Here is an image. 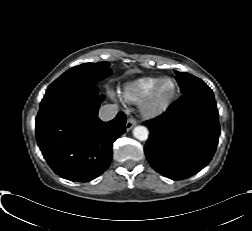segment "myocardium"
I'll list each match as a JSON object with an SVG mask.
<instances>
[{"instance_id":"1","label":"myocardium","mask_w":252,"mask_h":231,"mask_svg":"<svg viewBox=\"0 0 252 231\" xmlns=\"http://www.w3.org/2000/svg\"><path fill=\"white\" fill-rule=\"evenodd\" d=\"M170 82L172 90L166 98L161 97V89L164 83ZM178 93L177 82L170 77L162 78L142 104V112L148 117H155L164 113L175 100Z\"/></svg>"}]
</instances>
